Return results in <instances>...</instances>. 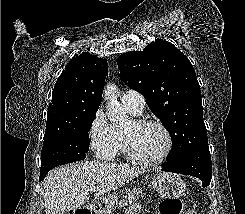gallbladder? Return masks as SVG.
I'll return each mask as SVG.
<instances>
[{"label": "gallbladder", "instance_id": "gallbladder-1", "mask_svg": "<svg viewBox=\"0 0 245 214\" xmlns=\"http://www.w3.org/2000/svg\"><path fill=\"white\" fill-rule=\"evenodd\" d=\"M57 214H68V212L67 211H60Z\"/></svg>", "mask_w": 245, "mask_h": 214}]
</instances>
